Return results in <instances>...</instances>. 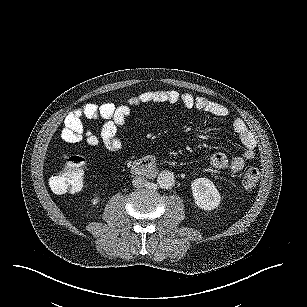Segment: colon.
Returning a JSON list of instances; mask_svg holds the SVG:
<instances>
[{"label": "colon", "instance_id": "colon-1", "mask_svg": "<svg viewBox=\"0 0 307 307\" xmlns=\"http://www.w3.org/2000/svg\"><path fill=\"white\" fill-rule=\"evenodd\" d=\"M89 145H96L98 137L89 131L84 132ZM260 176L259 168L249 165L242 173V186L251 189L256 186ZM85 181V161L80 156H67L64 167L50 179V187L56 194L77 193L83 189Z\"/></svg>", "mask_w": 307, "mask_h": 307}]
</instances>
